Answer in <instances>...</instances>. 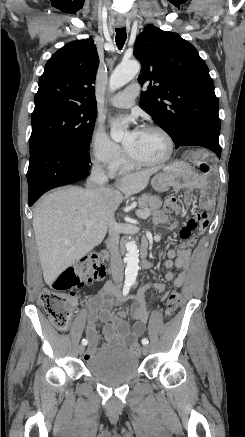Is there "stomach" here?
I'll return each instance as SVG.
<instances>
[{
	"label": "stomach",
	"mask_w": 245,
	"mask_h": 437,
	"mask_svg": "<svg viewBox=\"0 0 245 437\" xmlns=\"http://www.w3.org/2000/svg\"><path fill=\"white\" fill-rule=\"evenodd\" d=\"M193 171L191 166L184 161H176L161 169L152 179V186L158 192H164L173 187L183 189L191 185Z\"/></svg>",
	"instance_id": "obj_1"
}]
</instances>
